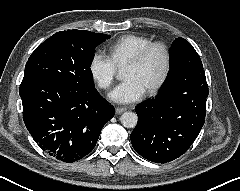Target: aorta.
Masks as SVG:
<instances>
[{"mask_svg": "<svg viewBox=\"0 0 240 191\" xmlns=\"http://www.w3.org/2000/svg\"><path fill=\"white\" fill-rule=\"evenodd\" d=\"M117 78L120 79L121 75H117ZM121 123L125 128H134L138 122V116L134 112H125L120 117Z\"/></svg>", "mask_w": 240, "mask_h": 191, "instance_id": "aorta-1", "label": "aorta"}]
</instances>
